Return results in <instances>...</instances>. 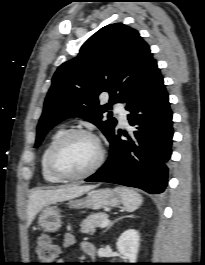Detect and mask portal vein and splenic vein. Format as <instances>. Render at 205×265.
I'll use <instances>...</instances> for the list:
<instances>
[{
	"label": "portal vein and splenic vein",
	"instance_id": "1",
	"mask_svg": "<svg viewBox=\"0 0 205 265\" xmlns=\"http://www.w3.org/2000/svg\"><path fill=\"white\" fill-rule=\"evenodd\" d=\"M110 223V220L108 218H106L105 220H103L102 224H101V228L106 227L108 224Z\"/></svg>",
	"mask_w": 205,
	"mask_h": 265
}]
</instances>
